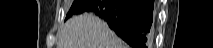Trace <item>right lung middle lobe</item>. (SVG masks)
Wrapping results in <instances>:
<instances>
[{"instance_id": "right-lung-middle-lobe-1", "label": "right lung middle lobe", "mask_w": 213, "mask_h": 48, "mask_svg": "<svg viewBox=\"0 0 213 48\" xmlns=\"http://www.w3.org/2000/svg\"><path fill=\"white\" fill-rule=\"evenodd\" d=\"M87 2V0H74L69 12L67 13V16L65 18V21L71 17L74 14H79L84 4Z\"/></svg>"}]
</instances>
